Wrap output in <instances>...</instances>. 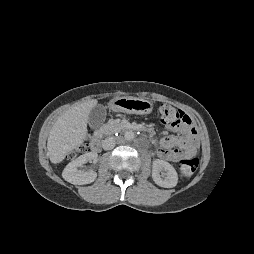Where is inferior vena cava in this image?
Returning a JSON list of instances; mask_svg holds the SVG:
<instances>
[{"label":"inferior vena cava","mask_w":254,"mask_h":254,"mask_svg":"<svg viewBox=\"0 0 254 254\" xmlns=\"http://www.w3.org/2000/svg\"><path fill=\"white\" fill-rule=\"evenodd\" d=\"M102 147L104 150H111L115 147V139L113 137H107L102 141Z\"/></svg>","instance_id":"602c4592"}]
</instances>
